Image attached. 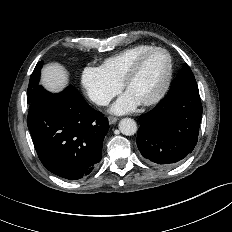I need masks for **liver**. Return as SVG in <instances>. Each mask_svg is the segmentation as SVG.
I'll return each instance as SVG.
<instances>
[{"instance_id":"1","label":"liver","mask_w":232,"mask_h":232,"mask_svg":"<svg viewBox=\"0 0 232 232\" xmlns=\"http://www.w3.org/2000/svg\"><path fill=\"white\" fill-rule=\"evenodd\" d=\"M69 75L59 63H49L42 70L41 83L52 92H58L68 84Z\"/></svg>"}]
</instances>
